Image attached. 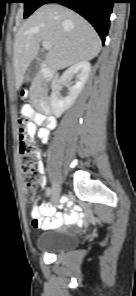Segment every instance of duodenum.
I'll return each instance as SVG.
<instances>
[{"mask_svg": "<svg viewBox=\"0 0 136 296\" xmlns=\"http://www.w3.org/2000/svg\"><path fill=\"white\" fill-rule=\"evenodd\" d=\"M40 71L43 81H49L52 78V71H50L44 63L41 65ZM38 106L44 117L41 124L45 125L48 128L54 127L55 121L53 118V110L50 101L47 98L43 97L39 100Z\"/></svg>", "mask_w": 136, "mask_h": 296, "instance_id": "1", "label": "duodenum"}]
</instances>
